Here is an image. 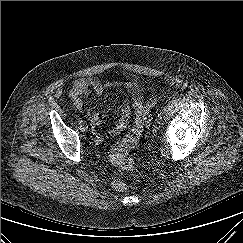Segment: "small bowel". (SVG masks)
<instances>
[{
	"instance_id": "obj_1",
	"label": "small bowel",
	"mask_w": 243,
	"mask_h": 243,
	"mask_svg": "<svg viewBox=\"0 0 243 243\" xmlns=\"http://www.w3.org/2000/svg\"><path fill=\"white\" fill-rule=\"evenodd\" d=\"M127 91L133 101L134 107H139L143 102V92L140 85L137 82H129L122 84L116 81H106L102 82L97 77H84L75 80L72 84L70 90V97L72 99L73 105L81 110L84 108V97L94 93L97 96H106L111 91ZM132 108L129 104H124L120 109V118L117 124L113 127V133H119L124 131L130 120ZM86 116L91 122L93 129L95 131V142L100 144L103 141V137L97 132L103 124V119L101 116L93 109H86Z\"/></svg>"
}]
</instances>
